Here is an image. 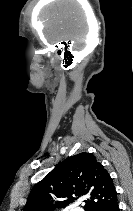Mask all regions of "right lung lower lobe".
I'll return each instance as SVG.
<instances>
[{
	"label": "right lung lower lobe",
	"instance_id": "98d812e1",
	"mask_svg": "<svg viewBox=\"0 0 133 211\" xmlns=\"http://www.w3.org/2000/svg\"><path fill=\"white\" fill-rule=\"evenodd\" d=\"M99 211H119L118 202L112 204L109 207H105L103 209H100Z\"/></svg>",
	"mask_w": 133,
	"mask_h": 211
}]
</instances>
